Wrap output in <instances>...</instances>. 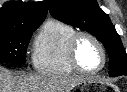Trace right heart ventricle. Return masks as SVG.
I'll return each instance as SVG.
<instances>
[{
  "instance_id": "right-heart-ventricle-1",
  "label": "right heart ventricle",
  "mask_w": 127,
  "mask_h": 92,
  "mask_svg": "<svg viewBox=\"0 0 127 92\" xmlns=\"http://www.w3.org/2000/svg\"><path fill=\"white\" fill-rule=\"evenodd\" d=\"M76 30L57 19H48L37 33L32 51L34 69L48 75L76 73L68 60L67 48Z\"/></svg>"
}]
</instances>
